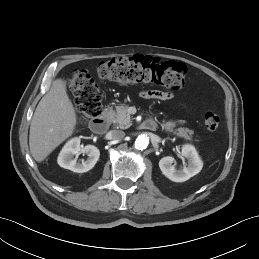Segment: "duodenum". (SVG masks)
<instances>
[{"label": "duodenum", "mask_w": 259, "mask_h": 259, "mask_svg": "<svg viewBox=\"0 0 259 259\" xmlns=\"http://www.w3.org/2000/svg\"><path fill=\"white\" fill-rule=\"evenodd\" d=\"M108 124H109V116L107 113H103L99 116H97L96 118H94L91 122V129L95 132V133H105L108 129ZM154 123L151 121H145L142 124L143 128H147V129H153L154 128Z\"/></svg>", "instance_id": "410a0bca"}]
</instances>
